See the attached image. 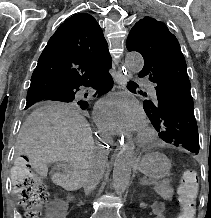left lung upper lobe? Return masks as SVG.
Listing matches in <instances>:
<instances>
[{"instance_id": "obj_1", "label": "left lung upper lobe", "mask_w": 211, "mask_h": 218, "mask_svg": "<svg viewBox=\"0 0 211 218\" xmlns=\"http://www.w3.org/2000/svg\"><path fill=\"white\" fill-rule=\"evenodd\" d=\"M126 46L143 56L139 77H146L154 85L156 95L145 100L143 107L160 138L198 154L191 86L178 40L164 23L144 17L131 29Z\"/></svg>"}]
</instances>
